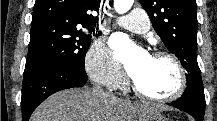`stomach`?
<instances>
[{
  "label": "stomach",
  "mask_w": 217,
  "mask_h": 121,
  "mask_svg": "<svg viewBox=\"0 0 217 121\" xmlns=\"http://www.w3.org/2000/svg\"><path fill=\"white\" fill-rule=\"evenodd\" d=\"M143 121H167V119L160 113H152L143 117Z\"/></svg>",
  "instance_id": "obj_1"
}]
</instances>
